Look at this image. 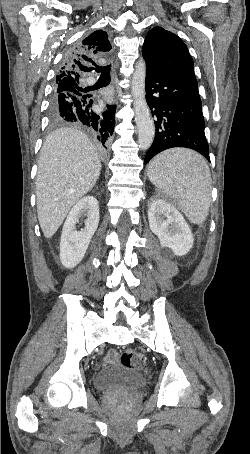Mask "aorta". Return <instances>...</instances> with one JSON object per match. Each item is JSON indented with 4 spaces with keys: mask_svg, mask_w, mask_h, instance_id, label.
Wrapping results in <instances>:
<instances>
[{
    "mask_svg": "<svg viewBox=\"0 0 250 454\" xmlns=\"http://www.w3.org/2000/svg\"><path fill=\"white\" fill-rule=\"evenodd\" d=\"M146 64L143 59L135 65L131 80V92L134 99L135 122L138 129V144L142 150L148 149L154 140L155 126L146 101L145 91Z\"/></svg>",
    "mask_w": 250,
    "mask_h": 454,
    "instance_id": "obj_1",
    "label": "aorta"
}]
</instances>
